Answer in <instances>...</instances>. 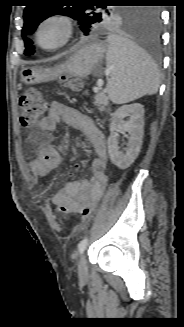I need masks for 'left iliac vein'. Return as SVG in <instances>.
<instances>
[{"label": "left iliac vein", "mask_w": 184, "mask_h": 327, "mask_svg": "<svg viewBox=\"0 0 184 327\" xmlns=\"http://www.w3.org/2000/svg\"><path fill=\"white\" fill-rule=\"evenodd\" d=\"M78 273L81 278H85L88 275V267L85 257L82 255L78 261Z\"/></svg>", "instance_id": "1"}]
</instances>
